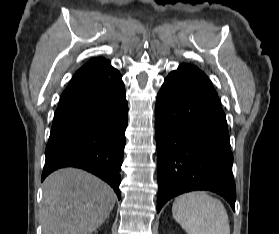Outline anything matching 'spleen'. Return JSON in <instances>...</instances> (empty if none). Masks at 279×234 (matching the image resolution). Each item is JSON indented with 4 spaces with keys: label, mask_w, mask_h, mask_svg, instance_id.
<instances>
[{
    "label": "spleen",
    "mask_w": 279,
    "mask_h": 234,
    "mask_svg": "<svg viewBox=\"0 0 279 234\" xmlns=\"http://www.w3.org/2000/svg\"><path fill=\"white\" fill-rule=\"evenodd\" d=\"M172 214L188 234H230L229 218L223 203L203 191L177 197Z\"/></svg>",
    "instance_id": "3e777b00"
}]
</instances>
